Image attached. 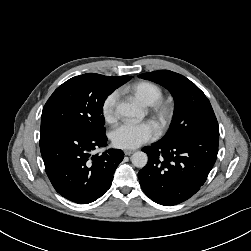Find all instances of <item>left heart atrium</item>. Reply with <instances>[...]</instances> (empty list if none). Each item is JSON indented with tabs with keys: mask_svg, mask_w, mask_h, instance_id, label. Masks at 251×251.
Segmentation results:
<instances>
[{
	"mask_svg": "<svg viewBox=\"0 0 251 251\" xmlns=\"http://www.w3.org/2000/svg\"><path fill=\"white\" fill-rule=\"evenodd\" d=\"M157 135L156 126L150 122H124L111 132L112 143L119 148L134 149L154 139Z\"/></svg>",
	"mask_w": 251,
	"mask_h": 251,
	"instance_id": "39dd6f15",
	"label": "left heart atrium"
}]
</instances>
